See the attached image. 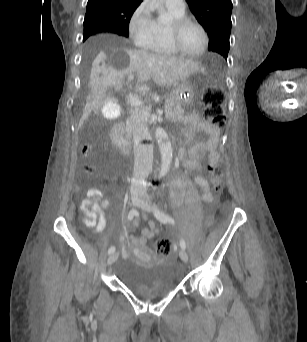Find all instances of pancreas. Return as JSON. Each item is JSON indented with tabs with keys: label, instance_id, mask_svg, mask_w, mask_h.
Here are the masks:
<instances>
[{
	"label": "pancreas",
	"instance_id": "cf45deb5",
	"mask_svg": "<svg viewBox=\"0 0 307 342\" xmlns=\"http://www.w3.org/2000/svg\"><path fill=\"white\" fill-rule=\"evenodd\" d=\"M177 99V94H168L167 96L165 108L166 118H168V120H178V118H181V116H183L181 108H177V106H169V104H176L178 101Z\"/></svg>",
	"mask_w": 307,
	"mask_h": 342
}]
</instances>
